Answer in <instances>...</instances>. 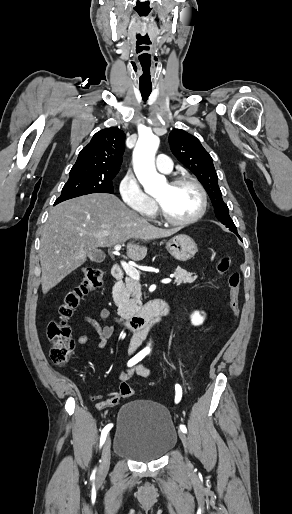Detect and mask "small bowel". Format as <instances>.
<instances>
[{
	"label": "small bowel",
	"mask_w": 292,
	"mask_h": 514,
	"mask_svg": "<svg viewBox=\"0 0 292 514\" xmlns=\"http://www.w3.org/2000/svg\"><path fill=\"white\" fill-rule=\"evenodd\" d=\"M109 316L110 311L107 308H102L100 311V318L102 323H100L97 319L91 316L82 317L81 321L94 328L97 331L99 338L97 341H93V339L87 334H78L75 338L76 342L79 345H88L94 343L97 347L103 348L106 345L107 341L114 334V327L106 323V321L109 319ZM134 375H138L140 377H150L151 371L142 365H137L136 367L128 371L121 370L119 372V379L122 382V384H127L126 382ZM121 396L122 393L120 391H113L109 392L108 395H106L105 397H103L102 395H98L97 397L91 395L89 397V400L91 402L97 400L98 404L101 406H118L120 404L119 398Z\"/></svg>",
	"instance_id": "c3829d8e"
}]
</instances>
